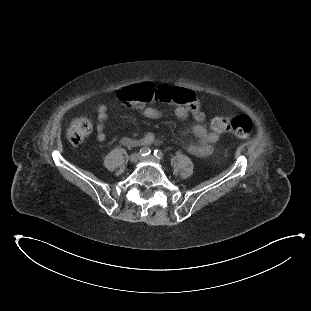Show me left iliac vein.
Here are the masks:
<instances>
[{
    "mask_svg": "<svg viewBox=\"0 0 311 311\" xmlns=\"http://www.w3.org/2000/svg\"><path fill=\"white\" fill-rule=\"evenodd\" d=\"M142 160L157 163V159L153 156H145L142 158Z\"/></svg>",
    "mask_w": 311,
    "mask_h": 311,
    "instance_id": "4c4485c4",
    "label": "left iliac vein"
}]
</instances>
